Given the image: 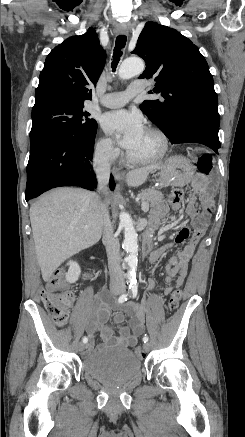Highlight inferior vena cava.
Returning a JSON list of instances; mask_svg holds the SVG:
<instances>
[{"instance_id": "obj_1", "label": "inferior vena cava", "mask_w": 245, "mask_h": 437, "mask_svg": "<svg viewBox=\"0 0 245 437\" xmlns=\"http://www.w3.org/2000/svg\"><path fill=\"white\" fill-rule=\"evenodd\" d=\"M94 172L98 179V191L102 194L107 192V184L110 177V150L106 149L93 160ZM103 216V244L106 247L110 281L112 285H124V273L120 267V245L117 236L114 235L112 223L110 221L107 203L101 204Z\"/></svg>"}]
</instances>
